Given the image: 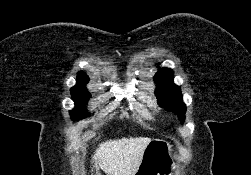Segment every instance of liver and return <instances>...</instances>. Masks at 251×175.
Listing matches in <instances>:
<instances>
[{
  "instance_id": "obj_1",
  "label": "liver",
  "mask_w": 251,
  "mask_h": 175,
  "mask_svg": "<svg viewBox=\"0 0 251 175\" xmlns=\"http://www.w3.org/2000/svg\"><path fill=\"white\" fill-rule=\"evenodd\" d=\"M150 137H122L99 143L93 155L94 167L103 169L106 175H134L150 143ZM97 175H101L96 171Z\"/></svg>"
}]
</instances>
